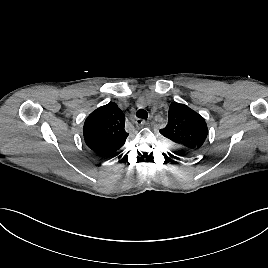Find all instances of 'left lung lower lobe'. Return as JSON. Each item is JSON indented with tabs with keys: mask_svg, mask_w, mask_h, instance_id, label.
Masks as SVG:
<instances>
[{
	"mask_svg": "<svg viewBox=\"0 0 268 268\" xmlns=\"http://www.w3.org/2000/svg\"><path fill=\"white\" fill-rule=\"evenodd\" d=\"M178 150L181 151V152H184V153H191L192 152V151L187 150L185 148H178Z\"/></svg>",
	"mask_w": 268,
	"mask_h": 268,
	"instance_id": "left-lung-lower-lobe-1",
	"label": "left lung lower lobe"
}]
</instances>
